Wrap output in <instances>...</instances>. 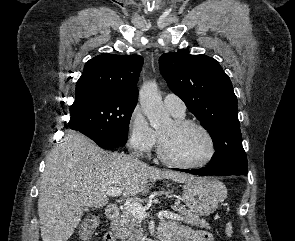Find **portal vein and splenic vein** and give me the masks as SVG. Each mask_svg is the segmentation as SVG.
<instances>
[{"mask_svg": "<svg viewBox=\"0 0 295 241\" xmlns=\"http://www.w3.org/2000/svg\"><path fill=\"white\" fill-rule=\"evenodd\" d=\"M121 192H122V190L120 187H112V188H108L106 190V194L108 196H112V197L120 195ZM124 208L128 212H130L132 215H134L136 218L144 219L148 216V214L146 213V209L140 203L127 201L124 204ZM158 216L165 217V218L172 219V220H177V221L183 220V217L181 215H178V214H175V213L169 212V211L159 212Z\"/></svg>", "mask_w": 295, "mask_h": 241, "instance_id": "obj_1", "label": "portal vein and splenic vein"}]
</instances>
